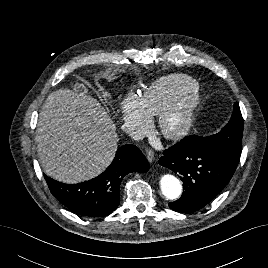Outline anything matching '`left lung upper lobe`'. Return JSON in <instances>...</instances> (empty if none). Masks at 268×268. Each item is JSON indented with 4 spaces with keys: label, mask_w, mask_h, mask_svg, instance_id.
Returning a JSON list of instances; mask_svg holds the SVG:
<instances>
[{
    "label": "left lung upper lobe",
    "mask_w": 268,
    "mask_h": 268,
    "mask_svg": "<svg viewBox=\"0 0 268 268\" xmlns=\"http://www.w3.org/2000/svg\"><path fill=\"white\" fill-rule=\"evenodd\" d=\"M243 134V118L238 104H234L233 113L228 124L217 134L199 137L200 143L228 151L240 156Z\"/></svg>",
    "instance_id": "1"
}]
</instances>
